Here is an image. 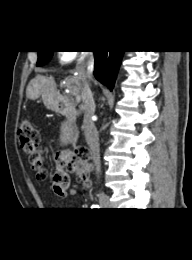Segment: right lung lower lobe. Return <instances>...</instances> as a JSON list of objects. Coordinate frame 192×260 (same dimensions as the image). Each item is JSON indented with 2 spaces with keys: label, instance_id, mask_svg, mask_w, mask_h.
<instances>
[{
  "label": "right lung lower lobe",
  "instance_id": "98d812e1",
  "mask_svg": "<svg viewBox=\"0 0 192 260\" xmlns=\"http://www.w3.org/2000/svg\"><path fill=\"white\" fill-rule=\"evenodd\" d=\"M94 76L110 90L113 89L124 51H93Z\"/></svg>",
  "mask_w": 192,
  "mask_h": 260
}]
</instances>
